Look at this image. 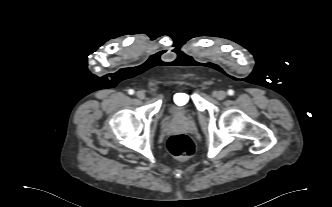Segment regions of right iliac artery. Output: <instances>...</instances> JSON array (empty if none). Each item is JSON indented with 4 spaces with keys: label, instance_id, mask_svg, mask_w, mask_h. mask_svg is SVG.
Returning <instances> with one entry per match:
<instances>
[{
    "label": "right iliac artery",
    "instance_id": "right-iliac-artery-1",
    "mask_svg": "<svg viewBox=\"0 0 332 207\" xmlns=\"http://www.w3.org/2000/svg\"><path fill=\"white\" fill-rule=\"evenodd\" d=\"M128 93H129L130 95H133V94H134V90H133V89H130V90L128 91Z\"/></svg>",
    "mask_w": 332,
    "mask_h": 207
}]
</instances>
